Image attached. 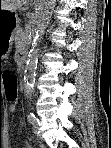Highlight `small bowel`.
<instances>
[{"label":"small bowel","instance_id":"small-bowel-1","mask_svg":"<svg viewBox=\"0 0 111 148\" xmlns=\"http://www.w3.org/2000/svg\"><path fill=\"white\" fill-rule=\"evenodd\" d=\"M9 112H10V113H14V112H15V106H14V105H11V106L9 107ZM5 147H8V146L6 145ZM28 147H30V146H28Z\"/></svg>","mask_w":111,"mask_h":148}]
</instances>
